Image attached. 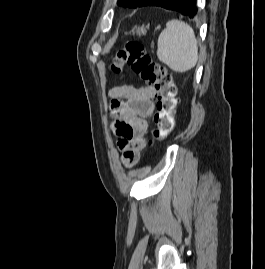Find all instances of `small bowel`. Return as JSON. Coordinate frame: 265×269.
Segmentation results:
<instances>
[{"instance_id": "1", "label": "small bowel", "mask_w": 265, "mask_h": 269, "mask_svg": "<svg viewBox=\"0 0 265 269\" xmlns=\"http://www.w3.org/2000/svg\"><path fill=\"white\" fill-rule=\"evenodd\" d=\"M155 90L151 85L135 87L123 85L113 87L108 91L111 98V109L114 116L112 129L116 131L119 122H125L134 130L132 139L118 135V147L122 162L127 167L134 166L140 157V150L146 144L148 124L145 118L154 111Z\"/></svg>"}]
</instances>
